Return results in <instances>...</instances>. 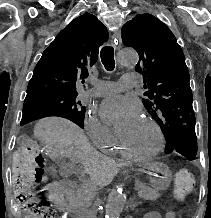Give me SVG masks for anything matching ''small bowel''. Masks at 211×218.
I'll list each match as a JSON object with an SVG mask.
<instances>
[{"label":"small bowel","mask_w":211,"mask_h":218,"mask_svg":"<svg viewBox=\"0 0 211 218\" xmlns=\"http://www.w3.org/2000/svg\"><path fill=\"white\" fill-rule=\"evenodd\" d=\"M45 190L49 191L48 199L54 204L58 211L61 213L66 212L67 205L63 198L62 191L59 188V182L54 181L49 183L45 187ZM144 218H175V214L173 212H166L164 217H162L160 213L156 211H150L144 216Z\"/></svg>","instance_id":"small-bowel-1"}]
</instances>
